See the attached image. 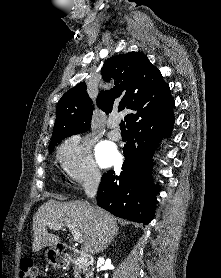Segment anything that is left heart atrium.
<instances>
[{
  "instance_id": "39dd6f15",
  "label": "left heart atrium",
  "mask_w": 221,
  "mask_h": 278,
  "mask_svg": "<svg viewBox=\"0 0 221 278\" xmlns=\"http://www.w3.org/2000/svg\"><path fill=\"white\" fill-rule=\"evenodd\" d=\"M96 157L102 167H108L116 163L119 156L111 143L102 142L96 148Z\"/></svg>"
}]
</instances>
